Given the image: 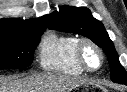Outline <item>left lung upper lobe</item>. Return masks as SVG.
<instances>
[{
    "instance_id": "1",
    "label": "left lung upper lobe",
    "mask_w": 127,
    "mask_h": 92,
    "mask_svg": "<svg viewBox=\"0 0 127 92\" xmlns=\"http://www.w3.org/2000/svg\"><path fill=\"white\" fill-rule=\"evenodd\" d=\"M49 28L63 32L81 34L101 47L109 59L111 80L127 85V73L121 66L117 52L103 24L93 18L86 7L63 6L59 12L49 15Z\"/></svg>"
}]
</instances>
